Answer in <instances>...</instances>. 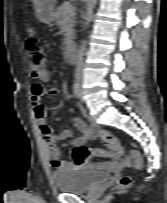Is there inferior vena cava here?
I'll list each match as a JSON object with an SVG mask.
<instances>
[{
  "mask_svg": "<svg viewBox=\"0 0 167 203\" xmlns=\"http://www.w3.org/2000/svg\"><path fill=\"white\" fill-rule=\"evenodd\" d=\"M84 51H85L84 46H81L77 52L76 72L78 77H81V73H82Z\"/></svg>",
  "mask_w": 167,
  "mask_h": 203,
  "instance_id": "obj_1",
  "label": "inferior vena cava"
}]
</instances>
